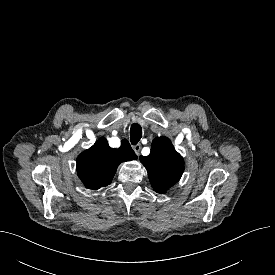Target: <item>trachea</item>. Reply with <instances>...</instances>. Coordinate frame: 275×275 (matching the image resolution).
<instances>
[{
  "label": "trachea",
  "mask_w": 275,
  "mask_h": 275,
  "mask_svg": "<svg viewBox=\"0 0 275 275\" xmlns=\"http://www.w3.org/2000/svg\"><path fill=\"white\" fill-rule=\"evenodd\" d=\"M142 137V128L138 124H132L130 128L131 144L136 145Z\"/></svg>",
  "instance_id": "obj_1"
}]
</instances>
